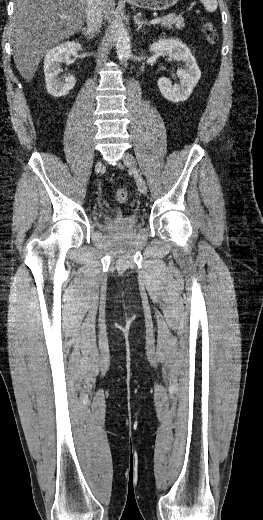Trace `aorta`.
Segmentation results:
<instances>
[{
    "mask_svg": "<svg viewBox=\"0 0 263 520\" xmlns=\"http://www.w3.org/2000/svg\"><path fill=\"white\" fill-rule=\"evenodd\" d=\"M115 42L118 59L121 63L127 61L130 56V37L122 24L115 25Z\"/></svg>",
    "mask_w": 263,
    "mask_h": 520,
    "instance_id": "1",
    "label": "aorta"
}]
</instances>
